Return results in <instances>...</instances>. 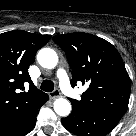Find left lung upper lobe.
<instances>
[{
    "label": "left lung upper lobe",
    "mask_w": 136,
    "mask_h": 136,
    "mask_svg": "<svg viewBox=\"0 0 136 136\" xmlns=\"http://www.w3.org/2000/svg\"><path fill=\"white\" fill-rule=\"evenodd\" d=\"M53 41L65 51L72 69L71 85L89 83L81 100L69 98L72 106L122 117L128 107L131 81L115 47L86 33L57 35Z\"/></svg>",
    "instance_id": "1"
}]
</instances>
